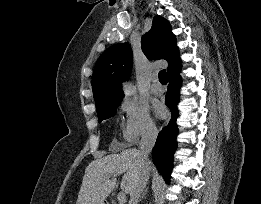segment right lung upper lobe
<instances>
[{"instance_id":"right-lung-upper-lobe-1","label":"right lung upper lobe","mask_w":261,"mask_h":204,"mask_svg":"<svg viewBox=\"0 0 261 204\" xmlns=\"http://www.w3.org/2000/svg\"><path fill=\"white\" fill-rule=\"evenodd\" d=\"M141 47L148 59H165L169 64L168 74L181 66L175 35L170 23L161 16L154 17L150 31L141 39ZM132 64L128 43L115 44L102 53L92 76L96 106L123 98L122 82L130 76Z\"/></svg>"}]
</instances>
